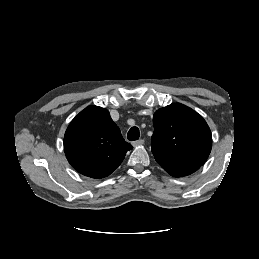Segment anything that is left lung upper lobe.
<instances>
[{"label": "left lung upper lobe", "instance_id": "5c2ea615", "mask_svg": "<svg viewBox=\"0 0 259 259\" xmlns=\"http://www.w3.org/2000/svg\"><path fill=\"white\" fill-rule=\"evenodd\" d=\"M152 153L158 162L202 166L207 160L212 136L206 121L191 108L172 103L153 116Z\"/></svg>", "mask_w": 259, "mask_h": 259}]
</instances>
